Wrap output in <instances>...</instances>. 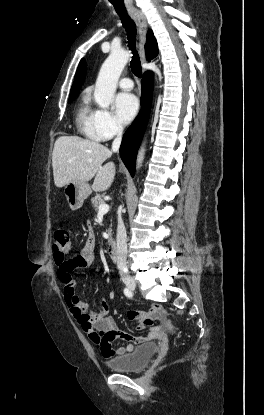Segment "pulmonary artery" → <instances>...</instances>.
Segmentation results:
<instances>
[{"label":"pulmonary artery","instance_id":"e3ab8cb5","mask_svg":"<svg viewBox=\"0 0 264 415\" xmlns=\"http://www.w3.org/2000/svg\"><path fill=\"white\" fill-rule=\"evenodd\" d=\"M118 86L123 90H131L133 88V81L130 78H122L118 82Z\"/></svg>","mask_w":264,"mask_h":415}]
</instances>
